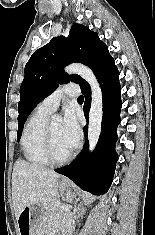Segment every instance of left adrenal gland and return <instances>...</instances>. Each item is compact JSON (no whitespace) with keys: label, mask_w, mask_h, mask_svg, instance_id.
I'll return each instance as SVG.
<instances>
[{"label":"left adrenal gland","mask_w":155,"mask_h":235,"mask_svg":"<svg viewBox=\"0 0 155 235\" xmlns=\"http://www.w3.org/2000/svg\"><path fill=\"white\" fill-rule=\"evenodd\" d=\"M74 211H77L78 213L80 212V208L78 207V208H75V210Z\"/></svg>","instance_id":"left-adrenal-gland-1"}]
</instances>
